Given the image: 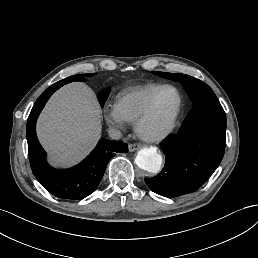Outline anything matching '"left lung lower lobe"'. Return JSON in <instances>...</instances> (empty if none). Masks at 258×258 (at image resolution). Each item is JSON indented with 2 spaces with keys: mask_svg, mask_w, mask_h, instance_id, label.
<instances>
[{
  "mask_svg": "<svg viewBox=\"0 0 258 258\" xmlns=\"http://www.w3.org/2000/svg\"><path fill=\"white\" fill-rule=\"evenodd\" d=\"M226 127L199 124L180 130L161 145L166 159L162 171L145 178L148 187L165 197L196 191L219 166L225 152Z\"/></svg>",
  "mask_w": 258,
  "mask_h": 258,
  "instance_id": "0a47b994",
  "label": "left lung lower lobe"
}]
</instances>
